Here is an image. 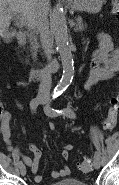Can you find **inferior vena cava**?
I'll use <instances>...</instances> for the list:
<instances>
[{"instance_id":"602c4592","label":"inferior vena cava","mask_w":119,"mask_h":185,"mask_svg":"<svg viewBox=\"0 0 119 185\" xmlns=\"http://www.w3.org/2000/svg\"><path fill=\"white\" fill-rule=\"evenodd\" d=\"M47 0H41L40 8L37 12L36 17V25L35 29L37 34L40 35V41L42 44V48L47 59L51 60V43H50V31H49V23L47 20V14L45 10ZM51 72L49 70H45L41 76V81L38 88V96L44 99H49L50 97V88H51Z\"/></svg>"}]
</instances>
